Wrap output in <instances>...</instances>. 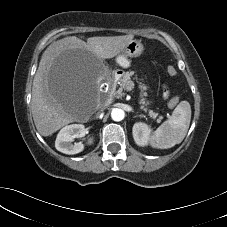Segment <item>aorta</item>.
Wrapping results in <instances>:
<instances>
[{
    "instance_id": "obj_1",
    "label": "aorta",
    "mask_w": 227,
    "mask_h": 227,
    "mask_svg": "<svg viewBox=\"0 0 227 227\" xmlns=\"http://www.w3.org/2000/svg\"><path fill=\"white\" fill-rule=\"evenodd\" d=\"M124 117H125V112L122 109L115 108L111 112V118L114 121H121L124 119Z\"/></svg>"
}]
</instances>
